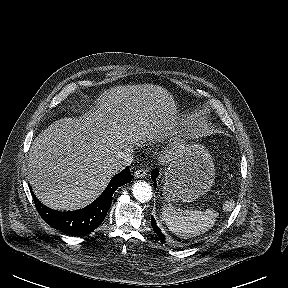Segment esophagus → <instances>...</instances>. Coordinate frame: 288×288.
I'll use <instances>...</instances> for the list:
<instances>
[{
  "instance_id": "obj_1",
  "label": "esophagus",
  "mask_w": 288,
  "mask_h": 288,
  "mask_svg": "<svg viewBox=\"0 0 288 288\" xmlns=\"http://www.w3.org/2000/svg\"><path fill=\"white\" fill-rule=\"evenodd\" d=\"M147 175V170L141 168V169H138L134 172V176L136 178H143Z\"/></svg>"
}]
</instances>
